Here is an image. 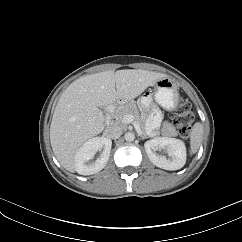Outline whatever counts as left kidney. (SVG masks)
Instances as JSON below:
<instances>
[{
  "label": "left kidney",
  "instance_id": "1",
  "mask_svg": "<svg viewBox=\"0 0 242 242\" xmlns=\"http://www.w3.org/2000/svg\"><path fill=\"white\" fill-rule=\"evenodd\" d=\"M145 151L150 161L157 167L165 170H178L186 162V146L180 139L171 137H157L148 140L144 144ZM164 150L169 158L159 154Z\"/></svg>",
  "mask_w": 242,
  "mask_h": 242
}]
</instances>
